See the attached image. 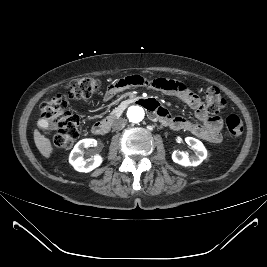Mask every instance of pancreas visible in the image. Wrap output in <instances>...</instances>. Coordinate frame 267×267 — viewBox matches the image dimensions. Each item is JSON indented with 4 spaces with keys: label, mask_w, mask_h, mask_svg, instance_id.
<instances>
[{
    "label": "pancreas",
    "mask_w": 267,
    "mask_h": 267,
    "mask_svg": "<svg viewBox=\"0 0 267 267\" xmlns=\"http://www.w3.org/2000/svg\"><path fill=\"white\" fill-rule=\"evenodd\" d=\"M117 114H119V112L113 111L107 118L110 119V118L116 116Z\"/></svg>",
    "instance_id": "obj_1"
}]
</instances>
